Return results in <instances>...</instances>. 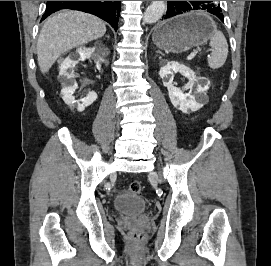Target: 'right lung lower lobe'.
<instances>
[{
	"mask_svg": "<svg viewBox=\"0 0 271 266\" xmlns=\"http://www.w3.org/2000/svg\"><path fill=\"white\" fill-rule=\"evenodd\" d=\"M64 8L94 14L108 22L116 31L121 1H47L42 20Z\"/></svg>",
	"mask_w": 271,
	"mask_h": 266,
	"instance_id": "98d812e1",
	"label": "right lung lower lobe"
}]
</instances>
